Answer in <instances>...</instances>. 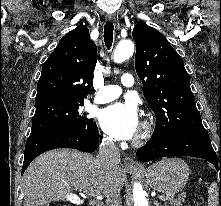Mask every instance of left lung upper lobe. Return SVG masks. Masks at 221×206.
Listing matches in <instances>:
<instances>
[{"instance_id":"5c2ea615","label":"left lung upper lobe","mask_w":221,"mask_h":206,"mask_svg":"<svg viewBox=\"0 0 221 206\" xmlns=\"http://www.w3.org/2000/svg\"><path fill=\"white\" fill-rule=\"evenodd\" d=\"M133 39L137 46L136 72L144 84L148 105L156 115L151 138L207 132L182 58L159 31L145 23L136 24Z\"/></svg>"}]
</instances>
